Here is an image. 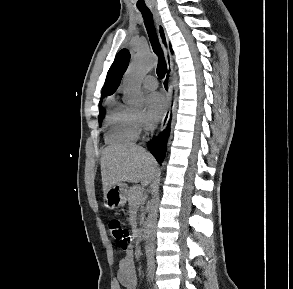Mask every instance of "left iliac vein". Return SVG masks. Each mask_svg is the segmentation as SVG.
I'll return each instance as SVG.
<instances>
[{
    "label": "left iliac vein",
    "instance_id": "1",
    "mask_svg": "<svg viewBox=\"0 0 293 289\" xmlns=\"http://www.w3.org/2000/svg\"><path fill=\"white\" fill-rule=\"evenodd\" d=\"M153 289H158V286L157 285H154Z\"/></svg>",
    "mask_w": 293,
    "mask_h": 289
}]
</instances>
